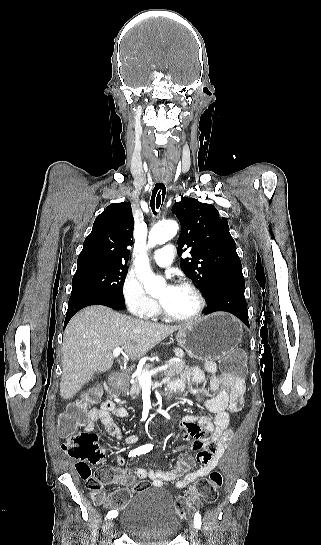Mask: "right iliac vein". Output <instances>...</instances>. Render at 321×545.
Returning a JSON list of instances; mask_svg holds the SVG:
<instances>
[{
    "label": "right iliac vein",
    "instance_id": "1",
    "mask_svg": "<svg viewBox=\"0 0 321 545\" xmlns=\"http://www.w3.org/2000/svg\"><path fill=\"white\" fill-rule=\"evenodd\" d=\"M113 528V522L112 520H109L107 523H106V526H105V530L108 531L110 529Z\"/></svg>",
    "mask_w": 321,
    "mask_h": 545
}]
</instances>
